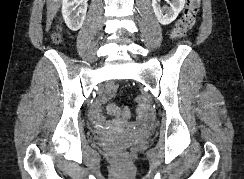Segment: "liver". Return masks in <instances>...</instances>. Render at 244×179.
<instances>
[{
	"label": "liver",
	"mask_w": 244,
	"mask_h": 179,
	"mask_svg": "<svg viewBox=\"0 0 244 179\" xmlns=\"http://www.w3.org/2000/svg\"><path fill=\"white\" fill-rule=\"evenodd\" d=\"M61 0H47L46 32H49L51 24L60 8Z\"/></svg>",
	"instance_id": "liver-1"
}]
</instances>
